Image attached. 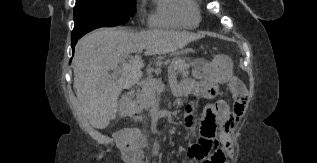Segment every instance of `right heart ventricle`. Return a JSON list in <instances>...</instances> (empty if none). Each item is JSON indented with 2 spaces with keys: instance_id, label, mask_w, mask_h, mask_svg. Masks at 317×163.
Returning <instances> with one entry per match:
<instances>
[{
  "instance_id": "obj_1",
  "label": "right heart ventricle",
  "mask_w": 317,
  "mask_h": 163,
  "mask_svg": "<svg viewBox=\"0 0 317 163\" xmlns=\"http://www.w3.org/2000/svg\"><path fill=\"white\" fill-rule=\"evenodd\" d=\"M149 24L157 28L194 29L200 22L197 0H151Z\"/></svg>"
}]
</instances>
